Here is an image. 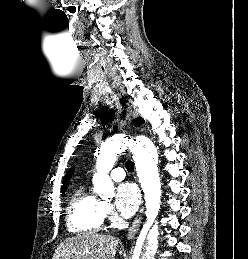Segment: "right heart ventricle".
<instances>
[{
	"instance_id": "right-heart-ventricle-1",
	"label": "right heart ventricle",
	"mask_w": 248,
	"mask_h": 259,
	"mask_svg": "<svg viewBox=\"0 0 248 259\" xmlns=\"http://www.w3.org/2000/svg\"><path fill=\"white\" fill-rule=\"evenodd\" d=\"M103 202L90 194L84 186L73 193L67 212V225L75 233H95L103 226Z\"/></svg>"
}]
</instances>
